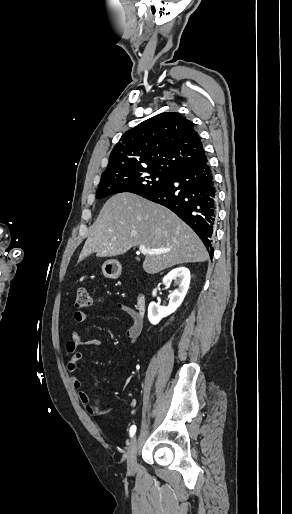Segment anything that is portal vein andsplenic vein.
Returning <instances> with one entry per match:
<instances>
[{
  "instance_id": "portal-vein-and-splenic-vein-1",
  "label": "portal vein and splenic vein",
  "mask_w": 292,
  "mask_h": 514,
  "mask_svg": "<svg viewBox=\"0 0 292 514\" xmlns=\"http://www.w3.org/2000/svg\"><path fill=\"white\" fill-rule=\"evenodd\" d=\"M139 250L141 254H166V252H170V250H147L145 246H140Z\"/></svg>"
}]
</instances>
